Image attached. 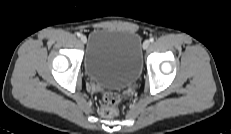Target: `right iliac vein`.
Listing matches in <instances>:
<instances>
[{"label": "right iliac vein", "instance_id": "63e3f726", "mask_svg": "<svg viewBox=\"0 0 231 134\" xmlns=\"http://www.w3.org/2000/svg\"><path fill=\"white\" fill-rule=\"evenodd\" d=\"M80 39H81V42L84 44L87 42V38L84 35H82Z\"/></svg>", "mask_w": 231, "mask_h": 134}]
</instances>
